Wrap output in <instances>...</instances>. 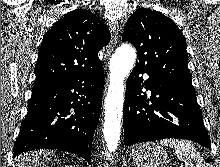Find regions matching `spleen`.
I'll list each match as a JSON object with an SVG mask.
<instances>
[{"mask_svg": "<svg viewBox=\"0 0 220 167\" xmlns=\"http://www.w3.org/2000/svg\"><path fill=\"white\" fill-rule=\"evenodd\" d=\"M160 144L174 148L178 159L185 162V167H202L203 158L191 142L168 138L161 140Z\"/></svg>", "mask_w": 220, "mask_h": 167, "instance_id": "3e777b00", "label": "spleen"}]
</instances>
